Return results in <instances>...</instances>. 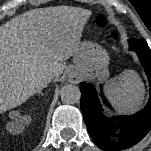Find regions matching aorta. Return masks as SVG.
Returning a JSON list of instances; mask_svg holds the SVG:
<instances>
[{"label": "aorta", "instance_id": "obj_1", "mask_svg": "<svg viewBox=\"0 0 151 151\" xmlns=\"http://www.w3.org/2000/svg\"><path fill=\"white\" fill-rule=\"evenodd\" d=\"M61 101L65 104H75L80 100V90L77 86L66 85L61 89Z\"/></svg>", "mask_w": 151, "mask_h": 151}]
</instances>
